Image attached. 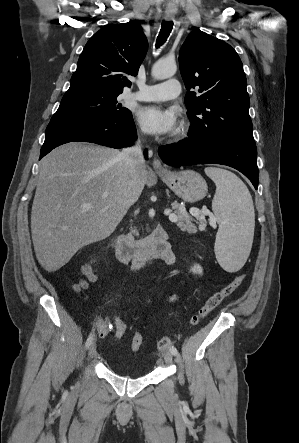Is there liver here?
Returning <instances> with one entry per match:
<instances>
[{"label":"liver","mask_w":299,"mask_h":443,"mask_svg":"<svg viewBox=\"0 0 299 443\" xmlns=\"http://www.w3.org/2000/svg\"><path fill=\"white\" fill-rule=\"evenodd\" d=\"M116 149L64 144L40 163L31 212L36 258L48 272L110 236L139 198L147 170L130 173ZM89 204L90 208H82Z\"/></svg>","instance_id":"1"}]
</instances>
